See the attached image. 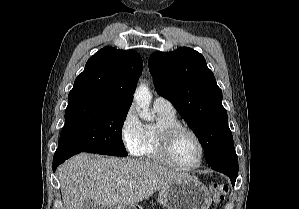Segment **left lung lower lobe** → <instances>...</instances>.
I'll return each mask as SVG.
<instances>
[{
    "instance_id": "0a47b994",
    "label": "left lung lower lobe",
    "mask_w": 299,
    "mask_h": 209,
    "mask_svg": "<svg viewBox=\"0 0 299 209\" xmlns=\"http://www.w3.org/2000/svg\"><path fill=\"white\" fill-rule=\"evenodd\" d=\"M210 167L227 175L231 180L232 186H234L238 176V158L234 145L227 148Z\"/></svg>"
}]
</instances>
